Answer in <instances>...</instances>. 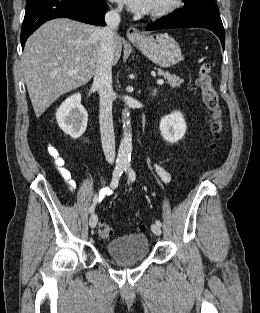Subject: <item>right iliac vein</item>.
<instances>
[{
    "label": "right iliac vein",
    "mask_w": 260,
    "mask_h": 313,
    "mask_svg": "<svg viewBox=\"0 0 260 313\" xmlns=\"http://www.w3.org/2000/svg\"><path fill=\"white\" fill-rule=\"evenodd\" d=\"M98 221V217L95 213H93L90 217L89 224L91 228L96 227Z\"/></svg>",
    "instance_id": "obj_1"
}]
</instances>
